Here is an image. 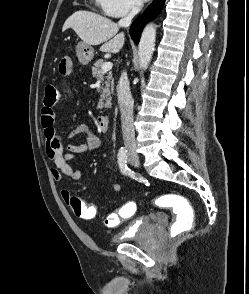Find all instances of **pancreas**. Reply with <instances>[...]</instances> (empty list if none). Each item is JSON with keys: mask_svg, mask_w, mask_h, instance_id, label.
<instances>
[{"mask_svg": "<svg viewBox=\"0 0 249 294\" xmlns=\"http://www.w3.org/2000/svg\"><path fill=\"white\" fill-rule=\"evenodd\" d=\"M104 61L99 59L95 62L94 66L92 67V75L93 77L97 78L102 74V65ZM114 90V80L112 78V74L109 72L107 73L106 80L102 85V94L100 96L97 109L102 108H109L111 106V94Z\"/></svg>", "mask_w": 249, "mask_h": 294, "instance_id": "1", "label": "pancreas"}]
</instances>
